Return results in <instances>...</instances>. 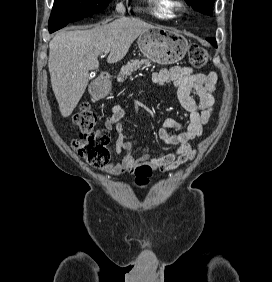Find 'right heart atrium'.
<instances>
[{
    "label": "right heart atrium",
    "instance_id": "1",
    "mask_svg": "<svg viewBox=\"0 0 272 282\" xmlns=\"http://www.w3.org/2000/svg\"><path fill=\"white\" fill-rule=\"evenodd\" d=\"M115 11L118 14H122L124 12V6L122 2H117L116 6H115Z\"/></svg>",
    "mask_w": 272,
    "mask_h": 282
}]
</instances>
